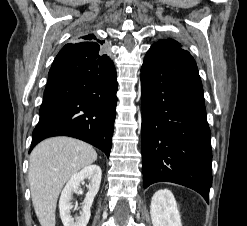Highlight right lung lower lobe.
Here are the masks:
<instances>
[{"label": "right lung lower lobe", "mask_w": 247, "mask_h": 226, "mask_svg": "<svg viewBox=\"0 0 247 226\" xmlns=\"http://www.w3.org/2000/svg\"><path fill=\"white\" fill-rule=\"evenodd\" d=\"M117 86L114 64L101 44H66L50 68L29 152L45 138L70 136L109 157Z\"/></svg>", "instance_id": "1"}]
</instances>
